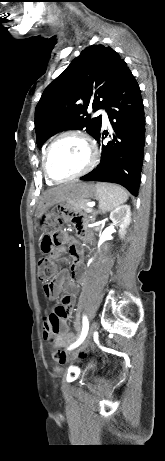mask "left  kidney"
Listing matches in <instances>:
<instances>
[{"mask_svg":"<svg viewBox=\"0 0 165 461\" xmlns=\"http://www.w3.org/2000/svg\"><path fill=\"white\" fill-rule=\"evenodd\" d=\"M110 219L114 224H117L119 229V236L123 238L126 233V228L131 222V210L129 205H122L117 207L110 213Z\"/></svg>","mask_w":165,"mask_h":461,"instance_id":"5707ae66","label":"left kidney"}]
</instances>
